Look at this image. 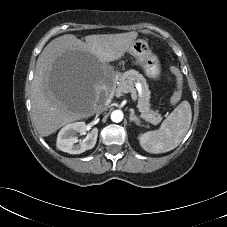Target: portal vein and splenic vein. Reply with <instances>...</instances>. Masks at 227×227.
<instances>
[{"label": "portal vein and splenic vein", "mask_w": 227, "mask_h": 227, "mask_svg": "<svg viewBox=\"0 0 227 227\" xmlns=\"http://www.w3.org/2000/svg\"><path fill=\"white\" fill-rule=\"evenodd\" d=\"M122 93H131V98L133 101H136L137 99V94H136V89L134 87H124L120 89ZM137 90L139 93H141V84H137Z\"/></svg>", "instance_id": "obj_1"}]
</instances>
